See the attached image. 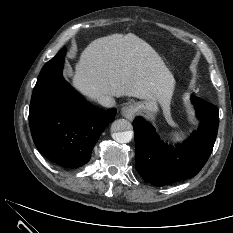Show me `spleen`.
<instances>
[{"label": "spleen", "instance_id": "1", "mask_svg": "<svg viewBox=\"0 0 233 233\" xmlns=\"http://www.w3.org/2000/svg\"><path fill=\"white\" fill-rule=\"evenodd\" d=\"M172 138H173V141L175 142V143H179V142H182V136H181V134L179 133V132H174V133H172Z\"/></svg>", "mask_w": 233, "mask_h": 233}]
</instances>
